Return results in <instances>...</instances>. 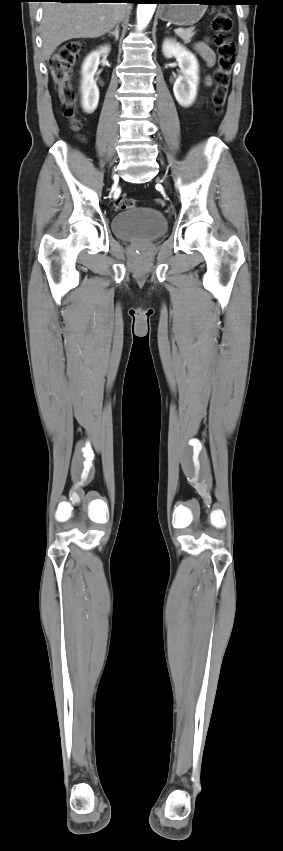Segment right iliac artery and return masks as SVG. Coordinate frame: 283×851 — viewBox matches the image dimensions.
I'll return each mask as SVG.
<instances>
[{"mask_svg": "<svg viewBox=\"0 0 283 851\" xmlns=\"http://www.w3.org/2000/svg\"><path fill=\"white\" fill-rule=\"evenodd\" d=\"M122 195H123V192H122V191H119V196H122Z\"/></svg>", "mask_w": 283, "mask_h": 851, "instance_id": "right-iliac-artery-1", "label": "right iliac artery"}]
</instances>
